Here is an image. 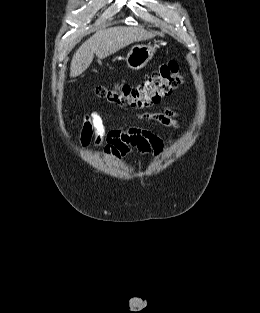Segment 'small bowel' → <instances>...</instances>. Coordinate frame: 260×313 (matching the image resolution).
Wrapping results in <instances>:
<instances>
[{
  "label": "small bowel",
  "mask_w": 260,
  "mask_h": 313,
  "mask_svg": "<svg viewBox=\"0 0 260 313\" xmlns=\"http://www.w3.org/2000/svg\"><path fill=\"white\" fill-rule=\"evenodd\" d=\"M140 118L175 130L179 128L178 114L170 108H164L160 112L145 113ZM93 137L97 145L104 144L101 152L103 157L114 161H120L128 156L131 148L138 149L146 157H161L172 143V141L164 142L154 131L139 126L106 131L105 122L97 113H92L83 120L78 132L81 147H88Z\"/></svg>",
  "instance_id": "small-bowel-1"
}]
</instances>
